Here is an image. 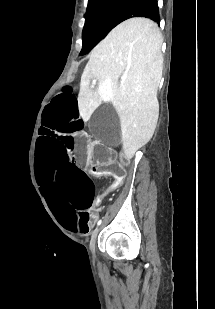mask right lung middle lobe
<instances>
[{"label":"right lung middle lobe","instance_id":"dd1d6c3e","mask_svg":"<svg viewBox=\"0 0 215 309\" xmlns=\"http://www.w3.org/2000/svg\"><path fill=\"white\" fill-rule=\"evenodd\" d=\"M130 0H88L80 55L88 53L117 24Z\"/></svg>","mask_w":215,"mask_h":309}]
</instances>
